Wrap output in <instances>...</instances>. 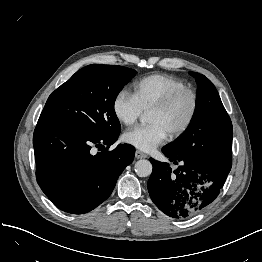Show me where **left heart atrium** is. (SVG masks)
<instances>
[{
    "label": "left heart atrium",
    "mask_w": 262,
    "mask_h": 262,
    "mask_svg": "<svg viewBox=\"0 0 262 262\" xmlns=\"http://www.w3.org/2000/svg\"><path fill=\"white\" fill-rule=\"evenodd\" d=\"M168 133L159 123L139 125L127 130L123 139L126 143L143 151H151L166 141Z\"/></svg>",
    "instance_id": "39dd6f15"
}]
</instances>
